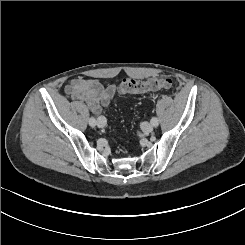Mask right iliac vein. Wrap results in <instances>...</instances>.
Wrapping results in <instances>:
<instances>
[{"instance_id": "63e3f726", "label": "right iliac vein", "mask_w": 245, "mask_h": 245, "mask_svg": "<svg viewBox=\"0 0 245 245\" xmlns=\"http://www.w3.org/2000/svg\"><path fill=\"white\" fill-rule=\"evenodd\" d=\"M105 125H106V119H105V117L99 116L97 118V126L101 128V127H104Z\"/></svg>"}]
</instances>
